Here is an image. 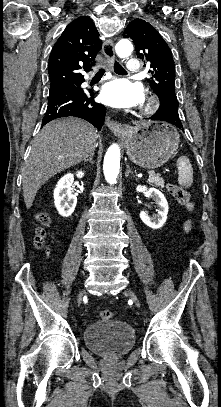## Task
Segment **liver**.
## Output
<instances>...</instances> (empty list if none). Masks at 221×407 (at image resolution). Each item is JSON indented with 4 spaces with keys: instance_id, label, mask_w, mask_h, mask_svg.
Listing matches in <instances>:
<instances>
[{
    "instance_id": "1",
    "label": "liver",
    "mask_w": 221,
    "mask_h": 407,
    "mask_svg": "<svg viewBox=\"0 0 221 407\" xmlns=\"http://www.w3.org/2000/svg\"><path fill=\"white\" fill-rule=\"evenodd\" d=\"M97 130L77 118L51 121L37 134L22 172L26 208H31L36 193L50 178L94 153Z\"/></svg>"
}]
</instances>
